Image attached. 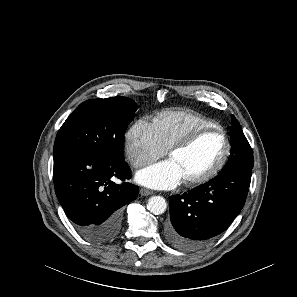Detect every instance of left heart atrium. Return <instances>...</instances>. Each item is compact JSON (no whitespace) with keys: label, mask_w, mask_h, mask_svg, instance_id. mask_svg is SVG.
<instances>
[{"label":"left heart atrium","mask_w":297,"mask_h":297,"mask_svg":"<svg viewBox=\"0 0 297 297\" xmlns=\"http://www.w3.org/2000/svg\"><path fill=\"white\" fill-rule=\"evenodd\" d=\"M183 179L181 168L171 158L148 166L136 175L139 183L156 189H172Z\"/></svg>","instance_id":"obj_1"}]
</instances>
